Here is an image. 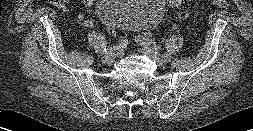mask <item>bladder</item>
I'll return each mask as SVG.
<instances>
[{
  "instance_id": "31cf9c89",
  "label": "bladder",
  "mask_w": 253,
  "mask_h": 131,
  "mask_svg": "<svg viewBox=\"0 0 253 131\" xmlns=\"http://www.w3.org/2000/svg\"><path fill=\"white\" fill-rule=\"evenodd\" d=\"M161 0H99L97 16L113 28L148 29L156 26L164 15Z\"/></svg>"
}]
</instances>
